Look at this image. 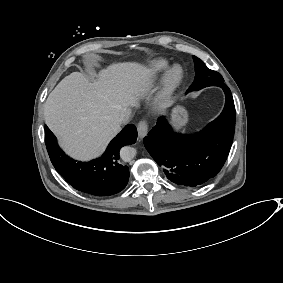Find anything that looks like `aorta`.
Masks as SVG:
<instances>
[{"instance_id":"obj_1","label":"aorta","mask_w":283,"mask_h":283,"mask_svg":"<svg viewBox=\"0 0 283 283\" xmlns=\"http://www.w3.org/2000/svg\"><path fill=\"white\" fill-rule=\"evenodd\" d=\"M136 155V149L132 146H125L120 151V157L125 162H130Z\"/></svg>"}]
</instances>
